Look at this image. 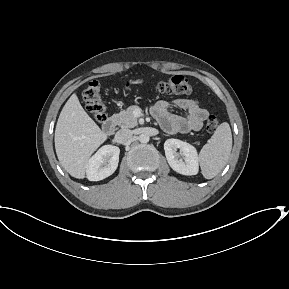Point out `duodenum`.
Masks as SVG:
<instances>
[{
  "label": "duodenum",
  "instance_id": "obj_1",
  "mask_svg": "<svg viewBox=\"0 0 289 289\" xmlns=\"http://www.w3.org/2000/svg\"><path fill=\"white\" fill-rule=\"evenodd\" d=\"M103 130L107 135H113L116 130V122L114 119H107L103 124Z\"/></svg>",
  "mask_w": 289,
  "mask_h": 289
}]
</instances>
